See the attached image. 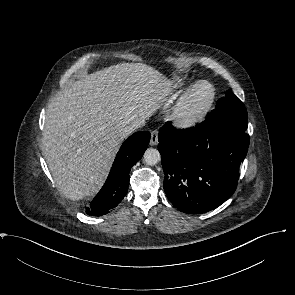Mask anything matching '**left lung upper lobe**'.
<instances>
[{
	"mask_svg": "<svg viewBox=\"0 0 295 295\" xmlns=\"http://www.w3.org/2000/svg\"><path fill=\"white\" fill-rule=\"evenodd\" d=\"M247 118L244 104L231 90L225 92V96L218 100L215 109L207 117L209 121H223L245 128H247Z\"/></svg>",
	"mask_w": 295,
	"mask_h": 295,
	"instance_id": "1",
	"label": "left lung upper lobe"
}]
</instances>
